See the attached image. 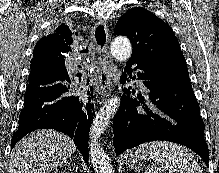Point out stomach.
<instances>
[{
	"instance_id": "0dacf381",
	"label": "stomach",
	"mask_w": 219,
	"mask_h": 173,
	"mask_svg": "<svg viewBox=\"0 0 219 173\" xmlns=\"http://www.w3.org/2000/svg\"><path fill=\"white\" fill-rule=\"evenodd\" d=\"M140 158H136L135 155L131 154L126 160V163L129 167H135Z\"/></svg>"
}]
</instances>
